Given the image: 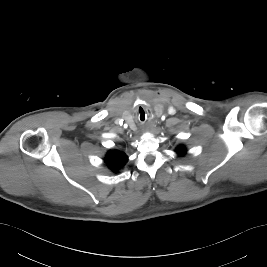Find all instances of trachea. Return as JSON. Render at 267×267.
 Instances as JSON below:
<instances>
[{
    "mask_svg": "<svg viewBox=\"0 0 267 267\" xmlns=\"http://www.w3.org/2000/svg\"><path fill=\"white\" fill-rule=\"evenodd\" d=\"M138 119L140 120V122H145L146 121L145 113L138 114Z\"/></svg>",
    "mask_w": 267,
    "mask_h": 267,
    "instance_id": "trachea-1",
    "label": "trachea"
}]
</instances>
